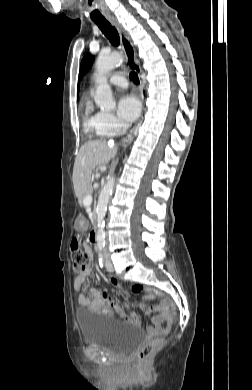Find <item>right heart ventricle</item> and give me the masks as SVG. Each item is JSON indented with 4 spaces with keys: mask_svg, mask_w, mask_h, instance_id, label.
<instances>
[{
    "mask_svg": "<svg viewBox=\"0 0 252 390\" xmlns=\"http://www.w3.org/2000/svg\"><path fill=\"white\" fill-rule=\"evenodd\" d=\"M84 130L89 137H104L97 130V114L92 113V106L88 103L85 107Z\"/></svg>",
    "mask_w": 252,
    "mask_h": 390,
    "instance_id": "e07e8e85",
    "label": "right heart ventricle"
}]
</instances>
